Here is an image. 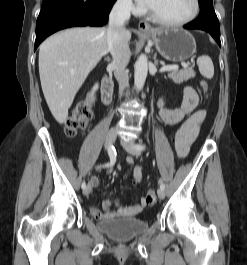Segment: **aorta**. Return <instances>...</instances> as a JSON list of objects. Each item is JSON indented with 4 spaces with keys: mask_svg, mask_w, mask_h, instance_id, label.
<instances>
[{
    "mask_svg": "<svg viewBox=\"0 0 247 265\" xmlns=\"http://www.w3.org/2000/svg\"><path fill=\"white\" fill-rule=\"evenodd\" d=\"M148 72V59L147 56L141 54L136 63L134 69V83L138 90L142 89L147 77Z\"/></svg>",
    "mask_w": 247,
    "mask_h": 265,
    "instance_id": "762f6f07",
    "label": "aorta"
}]
</instances>
